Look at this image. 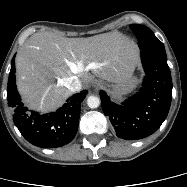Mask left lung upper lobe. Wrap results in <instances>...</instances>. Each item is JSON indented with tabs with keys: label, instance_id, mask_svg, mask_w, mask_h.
<instances>
[{
	"label": "left lung upper lobe",
	"instance_id": "obj_1",
	"mask_svg": "<svg viewBox=\"0 0 187 187\" xmlns=\"http://www.w3.org/2000/svg\"><path fill=\"white\" fill-rule=\"evenodd\" d=\"M130 28L135 32L141 50L166 55L163 43L148 27L132 24Z\"/></svg>",
	"mask_w": 187,
	"mask_h": 187
}]
</instances>
